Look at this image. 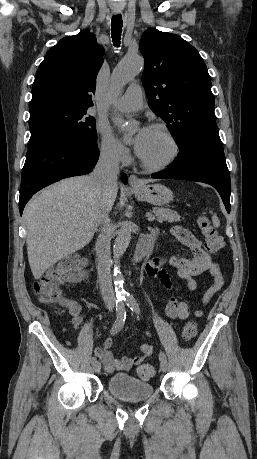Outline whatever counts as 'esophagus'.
<instances>
[{
    "label": "esophagus",
    "mask_w": 257,
    "mask_h": 459,
    "mask_svg": "<svg viewBox=\"0 0 257 459\" xmlns=\"http://www.w3.org/2000/svg\"><path fill=\"white\" fill-rule=\"evenodd\" d=\"M120 11L119 10H115V14H119ZM129 184L130 186H139L141 185V181L138 179V177L134 174H131L129 176Z\"/></svg>",
    "instance_id": "esophagus-1"
}]
</instances>
